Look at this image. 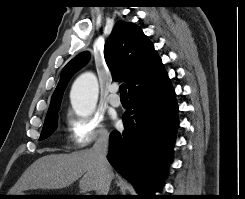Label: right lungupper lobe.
I'll use <instances>...</instances> for the list:
<instances>
[{
    "mask_svg": "<svg viewBox=\"0 0 245 199\" xmlns=\"http://www.w3.org/2000/svg\"><path fill=\"white\" fill-rule=\"evenodd\" d=\"M104 56L114 74L113 79L124 81L129 95L146 92L168 78L153 44L133 23H116L106 41ZM88 60V52H82L65 65L52 95L47 116L59 110L63 92L70 78Z\"/></svg>",
    "mask_w": 245,
    "mask_h": 199,
    "instance_id": "1",
    "label": "right lung upper lobe"
}]
</instances>
